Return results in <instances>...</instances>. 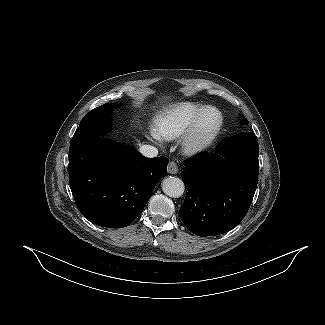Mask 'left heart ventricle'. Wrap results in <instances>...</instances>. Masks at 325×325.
Masks as SVG:
<instances>
[{
    "mask_svg": "<svg viewBox=\"0 0 325 325\" xmlns=\"http://www.w3.org/2000/svg\"><path fill=\"white\" fill-rule=\"evenodd\" d=\"M217 114L213 111H210L206 114L204 120H203V128L205 130L211 128L217 121Z\"/></svg>",
    "mask_w": 325,
    "mask_h": 325,
    "instance_id": "obj_1",
    "label": "left heart ventricle"
}]
</instances>
